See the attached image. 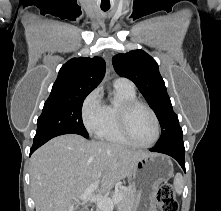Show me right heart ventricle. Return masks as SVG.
<instances>
[{"instance_id": "right-heart-ventricle-1", "label": "right heart ventricle", "mask_w": 221, "mask_h": 211, "mask_svg": "<svg viewBox=\"0 0 221 211\" xmlns=\"http://www.w3.org/2000/svg\"><path fill=\"white\" fill-rule=\"evenodd\" d=\"M115 91L121 102L137 99L135 90L115 87ZM118 109V105H106V123L102 131L98 134V137L110 143L130 145V143L121 134Z\"/></svg>"}]
</instances>
